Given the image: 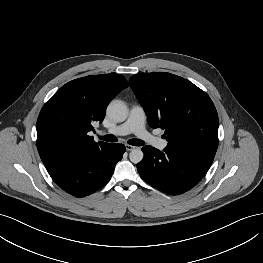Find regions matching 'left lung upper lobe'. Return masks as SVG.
Instances as JSON below:
<instances>
[{
    "mask_svg": "<svg viewBox=\"0 0 263 263\" xmlns=\"http://www.w3.org/2000/svg\"><path fill=\"white\" fill-rule=\"evenodd\" d=\"M149 124L165 130L168 145L214 157L218 115L209 96L190 81L170 73H142L129 79Z\"/></svg>",
    "mask_w": 263,
    "mask_h": 263,
    "instance_id": "5c2ea615",
    "label": "left lung upper lobe"
}]
</instances>
